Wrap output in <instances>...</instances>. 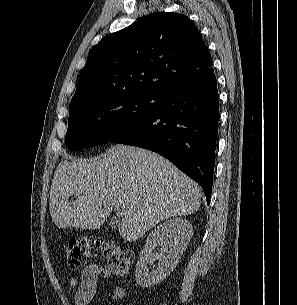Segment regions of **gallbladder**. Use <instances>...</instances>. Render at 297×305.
<instances>
[{
	"mask_svg": "<svg viewBox=\"0 0 297 305\" xmlns=\"http://www.w3.org/2000/svg\"><path fill=\"white\" fill-rule=\"evenodd\" d=\"M109 225H110L111 228H117V227H119V223H118L117 221H111V222L109 223Z\"/></svg>",
	"mask_w": 297,
	"mask_h": 305,
	"instance_id": "obj_1",
	"label": "gallbladder"
}]
</instances>
